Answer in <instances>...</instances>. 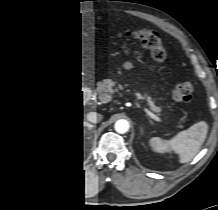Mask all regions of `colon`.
<instances>
[{
	"label": "colon",
	"instance_id": "1",
	"mask_svg": "<svg viewBox=\"0 0 218 210\" xmlns=\"http://www.w3.org/2000/svg\"><path fill=\"white\" fill-rule=\"evenodd\" d=\"M125 37L140 42L150 58L155 62H162L166 57L165 47L160 35L151 30H136L125 33ZM79 40L73 34L66 35L54 55L51 71L40 82L22 90L19 102L22 109L28 112H37L49 104L61 103L65 98V90L69 80V67L71 60L77 53ZM193 85L189 81L177 84L172 95L176 101L190 102L193 97Z\"/></svg>",
	"mask_w": 218,
	"mask_h": 210
}]
</instances>
